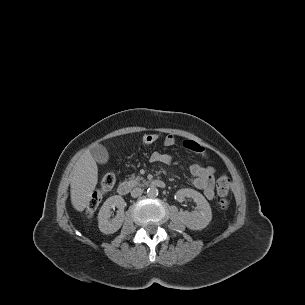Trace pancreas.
Instances as JSON below:
<instances>
[{
	"mask_svg": "<svg viewBox=\"0 0 305 305\" xmlns=\"http://www.w3.org/2000/svg\"><path fill=\"white\" fill-rule=\"evenodd\" d=\"M141 181H144L143 180V178L142 177H140V176H137V177H135L134 175H132L131 177H130V182H131V184L132 185H140V182Z\"/></svg>",
	"mask_w": 305,
	"mask_h": 305,
	"instance_id": "cf45deb5",
	"label": "pancreas"
}]
</instances>
